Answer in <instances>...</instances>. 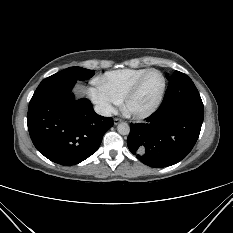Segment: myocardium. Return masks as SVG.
Masks as SVG:
<instances>
[{
  "label": "myocardium",
  "instance_id": "myocardium-1",
  "mask_svg": "<svg viewBox=\"0 0 233 233\" xmlns=\"http://www.w3.org/2000/svg\"><path fill=\"white\" fill-rule=\"evenodd\" d=\"M152 72H157L162 77V88H161L160 94L152 106H150L149 108L143 111H135L131 109L130 107L131 100L135 97V95L140 90L144 79ZM165 91H166V77L163 74V72H161L158 69H154V68L148 69L142 75L139 76V78L134 82V84L129 88V90L123 96L122 109L124 113L128 115L129 117H132L134 119H144L152 115L160 107L163 101L164 95H165Z\"/></svg>",
  "mask_w": 233,
  "mask_h": 233
}]
</instances>
